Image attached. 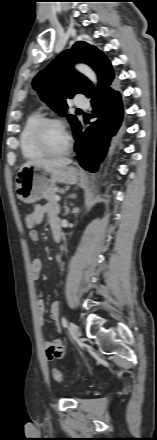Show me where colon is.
I'll return each mask as SVG.
<instances>
[{
    "instance_id": "5ec220e1",
    "label": "colon",
    "mask_w": 157,
    "mask_h": 440,
    "mask_svg": "<svg viewBox=\"0 0 157 440\" xmlns=\"http://www.w3.org/2000/svg\"><path fill=\"white\" fill-rule=\"evenodd\" d=\"M24 222H25V226L30 231L34 230L36 228V226H37L36 221H35L34 216H33L32 213H27L25 215ZM63 354H64L63 347H61L59 345H56V346L52 347V349L50 350V355L52 357H54V358H57V359L61 358L63 356ZM52 375H53V379L56 382H62L63 381V376H62L61 372L58 369L54 368L53 372H52Z\"/></svg>"
}]
</instances>
